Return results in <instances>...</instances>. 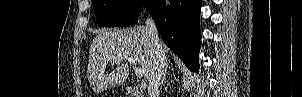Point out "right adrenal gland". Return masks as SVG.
Returning <instances> with one entry per match:
<instances>
[{
    "mask_svg": "<svg viewBox=\"0 0 302 97\" xmlns=\"http://www.w3.org/2000/svg\"><path fill=\"white\" fill-rule=\"evenodd\" d=\"M167 68H168V65L166 66V68L164 70L163 77H162V80H161V85H163L166 81Z\"/></svg>",
    "mask_w": 302,
    "mask_h": 97,
    "instance_id": "1",
    "label": "right adrenal gland"
}]
</instances>
